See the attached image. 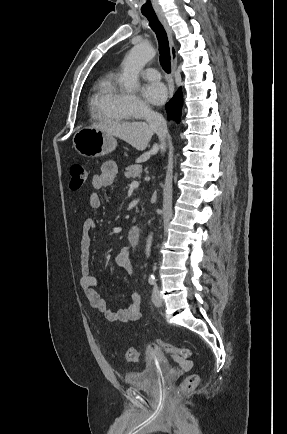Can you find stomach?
Returning a JSON list of instances; mask_svg holds the SVG:
<instances>
[{"instance_id": "1", "label": "stomach", "mask_w": 287, "mask_h": 434, "mask_svg": "<svg viewBox=\"0 0 287 434\" xmlns=\"http://www.w3.org/2000/svg\"><path fill=\"white\" fill-rule=\"evenodd\" d=\"M73 146L82 156L96 158L115 150L117 140L113 135L92 126L79 129L73 136Z\"/></svg>"}]
</instances>
